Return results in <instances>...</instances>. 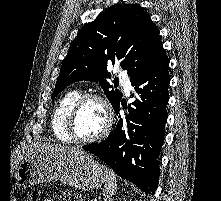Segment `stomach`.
I'll return each mask as SVG.
<instances>
[{"mask_svg":"<svg viewBox=\"0 0 221 201\" xmlns=\"http://www.w3.org/2000/svg\"><path fill=\"white\" fill-rule=\"evenodd\" d=\"M15 179L27 187L61 181L77 189L98 188L106 181L105 169L86 152L67 154L35 151L20 163Z\"/></svg>","mask_w":221,"mask_h":201,"instance_id":"obj_1","label":"stomach"}]
</instances>
